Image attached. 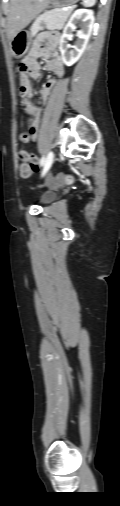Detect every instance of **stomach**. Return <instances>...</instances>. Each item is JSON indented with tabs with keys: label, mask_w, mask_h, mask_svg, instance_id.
<instances>
[{
	"label": "stomach",
	"mask_w": 120,
	"mask_h": 506,
	"mask_svg": "<svg viewBox=\"0 0 120 506\" xmlns=\"http://www.w3.org/2000/svg\"><path fill=\"white\" fill-rule=\"evenodd\" d=\"M79 0H50L53 7H71L75 5ZM32 41V34L29 31L21 30L17 35L10 40V47L12 54L15 58H22L29 50Z\"/></svg>",
	"instance_id": "0dacf381"
}]
</instances>
